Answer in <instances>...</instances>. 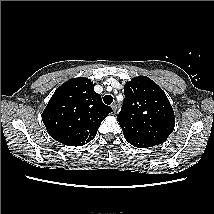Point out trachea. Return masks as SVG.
Instances as JSON below:
<instances>
[{
    "label": "trachea",
    "mask_w": 214,
    "mask_h": 214,
    "mask_svg": "<svg viewBox=\"0 0 214 214\" xmlns=\"http://www.w3.org/2000/svg\"><path fill=\"white\" fill-rule=\"evenodd\" d=\"M103 101L105 104L110 105L113 102V97L111 95H105Z\"/></svg>",
    "instance_id": "obj_1"
}]
</instances>
